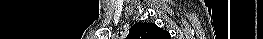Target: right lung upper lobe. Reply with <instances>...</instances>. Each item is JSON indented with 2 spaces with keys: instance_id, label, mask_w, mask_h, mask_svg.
<instances>
[{
  "instance_id": "1",
  "label": "right lung upper lobe",
  "mask_w": 263,
  "mask_h": 39,
  "mask_svg": "<svg viewBox=\"0 0 263 39\" xmlns=\"http://www.w3.org/2000/svg\"><path fill=\"white\" fill-rule=\"evenodd\" d=\"M130 39H168L170 34L153 23H137L130 28Z\"/></svg>"
}]
</instances>
